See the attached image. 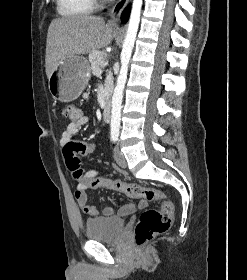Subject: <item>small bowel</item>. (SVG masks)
<instances>
[{
    "label": "small bowel",
    "instance_id": "obj_1",
    "mask_svg": "<svg viewBox=\"0 0 247 280\" xmlns=\"http://www.w3.org/2000/svg\"><path fill=\"white\" fill-rule=\"evenodd\" d=\"M89 123V117L86 115H80L78 120L75 123H70L64 130L61 136V144L63 148L73 140V137L78 134V132L81 130L82 127L88 125ZM89 176H100L96 171H89L86 173L85 177ZM82 180L77 184L76 191H75V197L78 202V205L82 211L83 214L88 216H97L99 214V210L88 204V195L85 188L81 185ZM95 189V188H94ZM145 202H140L138 204V208L145 207ZM136 209V206L134 204H125L123 205L120 210V215H128L132 213ZM104 216H112L114 211L111 207H106L102 211Z\"/></svg>",
    "mask_w": 247,
    "mask_h": 280
}]
</instances>
